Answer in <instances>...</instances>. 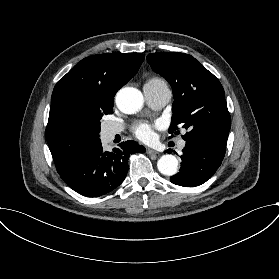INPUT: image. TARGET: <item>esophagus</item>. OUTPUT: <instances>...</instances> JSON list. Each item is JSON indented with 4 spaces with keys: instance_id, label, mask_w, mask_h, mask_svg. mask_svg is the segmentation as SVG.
Returning <instances> with one entry per match:
<instances>
[{
    "instance_id": "1",
    "label": "esophagus",
    "mask_w": 279,
    "mask_h": 279,
    "mask_svg": "<svg viewBox=\"0 0 279 279\" xmlns=\"http://www.w3.org/2000/svg\"><path fill=\"white\" fill-rule=\"evenodd\" d=\"M146 153L150 156H153V157H155L158 154L157 151H155L154 149L149 148V147L146 148Z\"/></svg>"
}]
</instances>
